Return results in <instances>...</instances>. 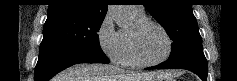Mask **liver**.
Wrapping results in <instances>:
<instances>
[{"mask_svg": "<svg viewBox=\"0 0 237 81\" xmlns=\"http://www.w3.org/2000/svg\"><path fill=\"white\" fill-rule=\"evenodd\" d=\"M165 72L127 73L106 64L80 63L62 71L55 81H151Z\"/></svg>", "mask_w": 237, "mask_h": 81, "instance_id": "6515ba94", "label": "liver"}]
</instances>
